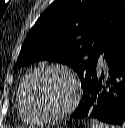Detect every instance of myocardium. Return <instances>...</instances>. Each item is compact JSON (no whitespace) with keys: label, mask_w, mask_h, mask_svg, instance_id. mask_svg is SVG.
Listing matches in <instances>:
<instances>
[{"label":"myocardium","mask_w":125,"mask_h":128,"mask_svg":"<svg viewBox=\"0 0 125 128\" xmlns=\"http://www.w3.org/2000/svg\"><path fill=\"white\" fill-rule=\"evenodd\" d=\"M40 71H52V72L60 73L65 77H67L72 84V87H73L72 99L69 102V104L59 112L52 113V114H39L34 112L28 104V101L26 98V88H27L28 82L33 75H35ZM20 92H21L20 100H21L22 107L25 113L33 121L38 123H52V122H57L62 118L66 117L76 108L81 97V86L78 80L76 79V77L73 75V73L67 68L59 65H54V64H42L34 67L25 75L20 85Z\"/></svg>","instance_id":"1"}]
</instances>
